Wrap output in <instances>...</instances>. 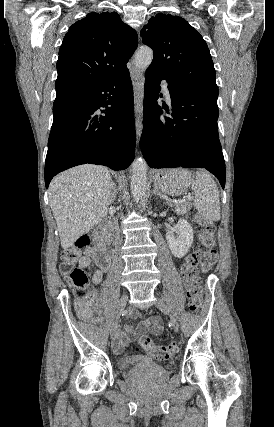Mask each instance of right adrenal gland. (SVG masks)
Here are the masks:
<instances>
[{
	"label": "right adrenal gland",
	"instance_id": "2a0ac1e0",
	"mask_svg": "<svg viewBox=\"0 0 274 427\" xmlns=\"http://www.w3.org/2000/svg\"><path fill=\"white\" fill-rule=\"evenodd\" d=\"M112 186H113V190H112V192H111L110 202H114V200H115V198H116V196H117V194H118V192H117V190H116V188H115V184H114V182H112Z\"/></svg>",
	"mask_w": 274,
	"mask_h": 427
}]
</instances>
